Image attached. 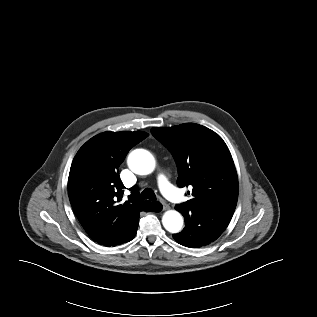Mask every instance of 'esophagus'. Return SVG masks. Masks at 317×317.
Wrapping results in <instances>:
<instances>
[{
  "label": "esophagus",
  "mask_w": 317,
  "mask_h": 317,
  "mask_svg": "<svg viewBox=\"0 0 317 317\" xmlns=\"http://www.w3.org/2000/svg\"><path fill=\"white\" fill-rule=\"evenodd\" d=\"M162 205H163V210H168L170 208L169 205L165 202H162Z\"/></svg>",
  "instance_id": "34e87169"
}]
</instances>
